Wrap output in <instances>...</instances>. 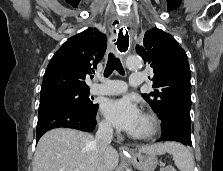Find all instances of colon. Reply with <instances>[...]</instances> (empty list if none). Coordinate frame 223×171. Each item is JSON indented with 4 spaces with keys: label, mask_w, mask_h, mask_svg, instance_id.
Returning a JSON list of instances; mask_svg holds the SVG:
<instances>
[{
    "label": "colon",
    "mask_w": 223,
    "mask_h": 171,
    "mask_svg": "<svg viewBox=\"0 0 223 171\" xmlns=\"http://www.w3.org/2000/svg\"><path fill=\"white\" fill-rule=\"evenodd\" d=\"M162 171H176V170L171 166H166L162 169Z\"/></svg>",
    "instance_id": "colon-1"
}]
</instances>
